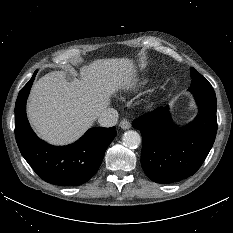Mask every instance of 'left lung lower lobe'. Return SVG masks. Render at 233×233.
Wrapping results in <instances>:
<instances>
[{"label": "left lung lower lobe", "mask_w": 233, "mask_h": 233, "mask_svg": "<svg viewBox=\"0 0 233 233\" xmlns=\"http://www.w3.org/2000/svg\"><path fill=\"white\" fill-rule=\"evenodd\" d=\"M199 107L194 121L180 129L168 109L160 107L133 122L142 135L141 165L156 183H173L192 176L202 165L217 132V100L211 85L190 87Z\"/></svg>", "instance_id": "1"}]
</instances>
